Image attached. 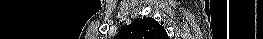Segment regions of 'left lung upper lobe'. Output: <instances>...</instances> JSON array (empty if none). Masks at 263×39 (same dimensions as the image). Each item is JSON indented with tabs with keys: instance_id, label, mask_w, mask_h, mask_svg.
Returning a JSON list of instances; mask_svg holds the SVG:
<instances>
[{
	"instance_id": "obj_1",
	"label": "left lung upper lobe",
	"mask_w": 263,
	"mask_h": 39,
	"mask_svg": "<svg viewBox=\"0 0 263 39\" xmlns=\"http://www.w3.org/2000/svg\"><path fill=\"white\" fill-rule=\"evenodd\" d=\"M115 39H168V36L153 18H140L122 27Z\"/></svg>"
}]
</instances>
